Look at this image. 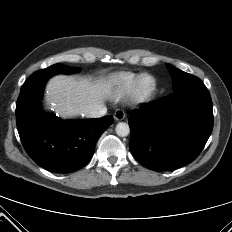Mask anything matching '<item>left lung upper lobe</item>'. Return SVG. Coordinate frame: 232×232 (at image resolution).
Instances as JSON below:
<instances>
[{
  "label": "left lung upper lobe",
  "mask_w": 232,
  "mask_h": 232,
  "mask_svg": "<svg viewBox=\"0 0 232 232\" xmlns=\"http://www.w3.org/2000/svg\"><path fill=\"white\" fill-rule=\"evenodd\" d=\"M167 68L169 69L171 76L173 78L174 91L201 82V80H199L194 75L183 72L170 64H167Z\"/></svg>",
  "instance_id": "left-lung-upper-lobe-1"
}]
</instances>
